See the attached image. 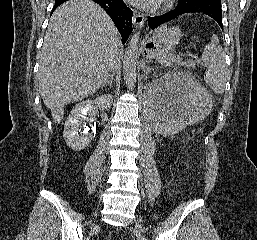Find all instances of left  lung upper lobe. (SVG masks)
<instances>
[{
  "label": "left lung upper lobe",
  "mask_w": 257,
  "mask_h": 240,
  "mask_svg": "<svg viewBox=\"0 0 257 240\" xmlns=\"http://www.w3.org/2000/svg\"><path fill=\"white\" fill-rule=\"evenodd\" d=\"M187 2H191V3H196V2H199V1H204V0H185Z\"/></svg>",
  "instance_id": "left-lung-upper-lobe-1"
}]
</instances>
